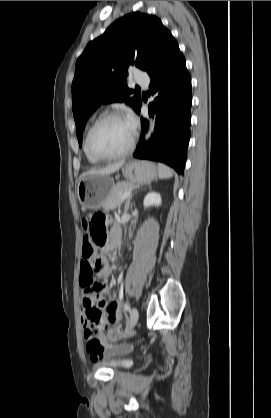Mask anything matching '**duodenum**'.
Returning <instances> with one entry per match:
<instances>
[{
	"instance_id": "duodenum-1",
	"label": "duodenum",
	"mask_w": 271,
	"mask_h": 418,
	"mask_svg": "<svg viewBox=\"0 0 271 418\" xmlns=\"http://www.w3.org/2000/svg\"><path fill=\"white\" fill-rule=\"evenodd\" d=\"M120 240V233L118 230H115L112 233V239H111V244H115Z\"/></svg>"
}]
</instances>
